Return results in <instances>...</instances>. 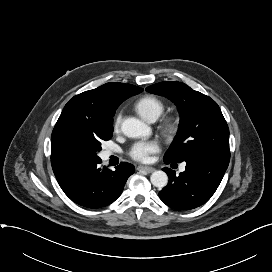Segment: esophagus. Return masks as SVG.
I'll list each match as a JSON object with an SVG mask.
<instances>
[{
	"mask_svg": "<svg viewBox=\"0 0 272 272\" xmlns=\"http://www.w3.org/2000/svg\"><path fill=\"white\" fill-rule=\"evenodd\" d=\"M137 169L146 171L147 173H152L153 171H155V168L149 166H138Z\"/></svg>",
	"mask_w": 272,
	"mask_h": 272,
	"instance_id": "1",
	"label": "esophagus"
}]
</instances>
